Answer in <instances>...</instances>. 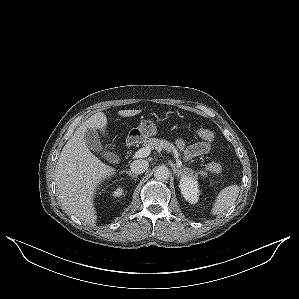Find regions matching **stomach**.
Here are the masks:
<instances>
[{"instance_id": "obj_1", "label": "stomach", "mask_w": 299, "mask_h": 299, "mask_svg": "<svg viewBox=\"0 0 299 299\" xmlns=\"http://www.w3.org/2000/svg\"><path fill=\"white\" fill-rule=\"evenodd\" d=\"M157 126L151 120H142L137 128H132L127 136L129 142H142L157 134Z\"/></svg>"}]
</instances>
